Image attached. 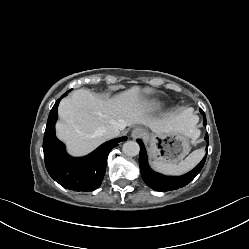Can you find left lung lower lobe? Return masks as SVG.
Here are the masks:
<instances>
[{
    "mask_svg": "<svg viewBox=\"0 0 249 249\" xmlns=\"http://www.w3.org/2000/svg\"><path fill=\"white\" fill-rule=\"evenodd\" d=\"M204 117V125H206V117L204 112L200 109ZM205 140L208 142V134L205 135ZM140 145V154H139V165L142 178L144 182L152 189L156 191H170L182 188L188 183H190L195 176L201 171L204 166L206 156L202 161L190 172L179 177H168L154 172L148 165L147 153L144 147V144L141 140H137ZM208 149V145L206 147Z\"/></svg>",
    "mask_w": 249,
    "mask_h": 249,
    "instance_id": "left-lung-lower-lobe-1",
    "label": "left lung lower lobe"
}]
</instances>
